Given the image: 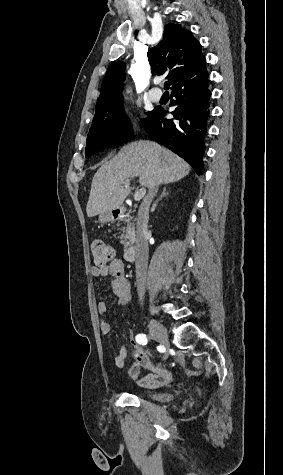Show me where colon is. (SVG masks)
Listing matches in <instances>:
<instances>
[{"label": "colon", "mask_w": 283, "mask_h": 475, "mask_svg": "<svg viewBox=\"0 0 283 475\" xmlns=\"http://www.w3.org/2000/svg\"><path fill=\"white\" fill-rule=\"evenodd\" d=\"M90 249L95 262L100 265L112 263L115 259V250L101 241L92 243Z\"/></svg>", "instance_id": "1"}]
</instances>
